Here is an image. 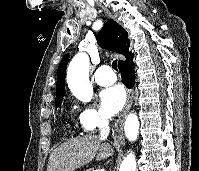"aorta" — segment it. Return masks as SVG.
I'll use <instances>...</instances> for the list:
<instances>
[{"mask_svg":"<svg viewBox=\"0 0 199 171\" xmlns=\"http://www.w3.org/2000/svg\"><path fill=\"white\" fill-rule=\"evenodd\" d=\"M89 58L85 53H78L67 69V83L73 95L83 102H89L93 96V88L89 82ZM139 120L135 113H130L125 120L124 131L128 140L138 137ZM135 156L131 152L122 161L119 171H135Z\"/></svg>","mask_w":199,"mask_h":171,"instance_id":"1","label":"aorta"}]
</instances>
